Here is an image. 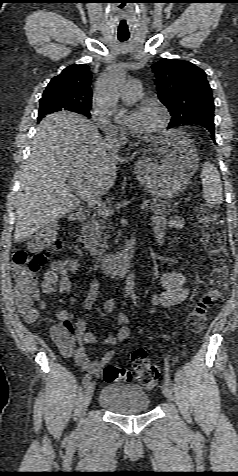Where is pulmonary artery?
Returning <instances> with one entry per match:
<instances>
[{
    "mask_svg": "<svg viewBox=\"0 0 238 476\" xmlns=\"http://www.w3.org/2000/svg\"><path fill=\"white\" fill-rule=\"evenodd\" d=\"M142 96V85L138 80H128L122 91L121 99L124 102L131 103L138 100Z\"/></svg>",
    "mask_w": 238,
    "mask_h": 476,
    "instance_id": "1",
    "label": "pulmonary artery"
}]
</instances>
